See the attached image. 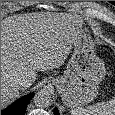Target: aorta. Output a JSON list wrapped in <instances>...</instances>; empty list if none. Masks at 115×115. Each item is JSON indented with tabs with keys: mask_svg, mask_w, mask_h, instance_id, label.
Masks as SVG:
<instances>
[{
	"mask_svg": "<svg viewBox=\"0 0 115 115\" xmlns=\"http://www.w3.org/2000/svg\"><path fill=\"white\" fill-rule=\"evenodd\" d=\"M34 103L37 107H48L52 104V96L48 91L41 90L34 96Z\"/></svg>",
	"mask_w": 115,
	"mask_h": 115,
	"instance_id": "1",
	"label": "aorta"
}]
</instances>
